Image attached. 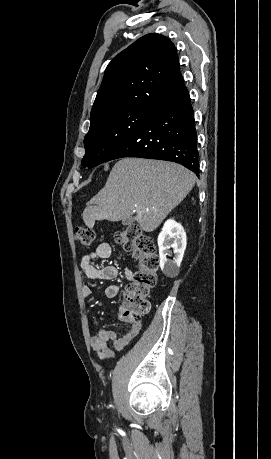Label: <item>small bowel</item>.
Segmentation results:
<instances>
[{
  "mask_svg": "<svg viewBox=\"0 0 271 459\" xmlns=\"http://www.w3.org/2000/svg\"><path fill=\"white\" fill-rule=\"evenodd\" d=\"M112 255L111 245L107 242L100 243L97 248L81 257L79 267L81 272L89 279L92 280H114L118 277V268L112 265L108 266H95L93 261L96 259H108ZM125 278L129 281L133 280L134 273L131 269L125 268L123 270ZM119 293V286L117 284H110L105 290L107 298H114ZM82 294L85 298L92 295V290L89 286L82 287ZM120 319L126 320L120 316ZM141 324L132 323L127 332L119 337L113 331L98 330L94 336L90 338V345L97 353L102 361H109L114 357V352L109 348L108 342L111 341L114 348L117 350L123 349L128 345L140 332Z\"/></svg>",
  "mask_w": 271,
  "mask_h": 459,
  "instance_id": "c3829d8e",
  "label": "small bowel"
}]
</instances>
